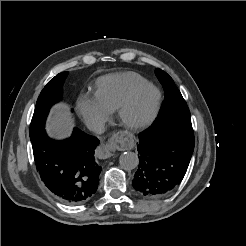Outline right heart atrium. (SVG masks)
Masks as SVG:
<instances>
[{"instance_id": "d8ad5b80", "label": "right heart atrium", "mask_w": 246, "mask_h": 246, "mask_svg": "<svg viewBox=\"0 0 246 246\" xmlns=\"http://www.w3.org/2000/svg\"><path fill=\"white\" fill-rule=\"evenodd\" d=\"M76 109L83 122L91 129L99 131L109 119L110 112L105 109L92 95H81Z\"/></svg>"}]
</instances>
